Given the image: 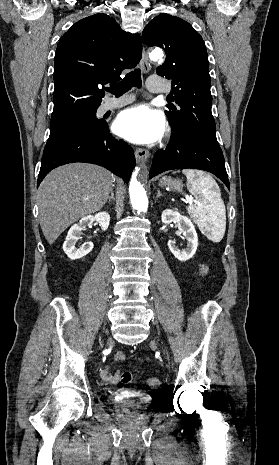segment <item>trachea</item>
I'll return each mask as SVG.
<instances>
[{
  "label": "trachea",
  "mask_w": 279,
  "mask_h": 465,
  "mask_svg": "<svg viewBox=\"0 0 279 465\" xmlns=\"http://www.w3.org/2000/svg\"><path fill=\"white\" fill-rule=\"evenodd\" d=\"M141 85V71L140 69H135L134 71L128 73L122 81L118 83H112L106 90L115 96H121L132 87L140 88Z\"/></svg>",
  "instance_id": "obj_1"
}]
</instances>
